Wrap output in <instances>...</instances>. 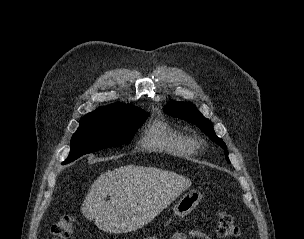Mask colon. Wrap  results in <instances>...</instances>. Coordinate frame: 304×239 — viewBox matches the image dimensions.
Wrapping results in <instances>:
<instances>
[{
  "instance_id": "colon-1",
  "label": "colon",
  "mask_w": 304,
  "mask_h": 239,
  "mask_svg": "<svg viewBox=\"0 0 304 239\" xmlns=\"http://www.w3.org/2000/svg\"><path fill=\"white\" fill-rule=\"evenodd\" d=\"M73 225V216L65 215L59 218L51 227L54 239H69L73 233ZM216 232L221 238H235L240 230L230 215L221 212L216 221Z\"/></svg>"
}]
</instances>
